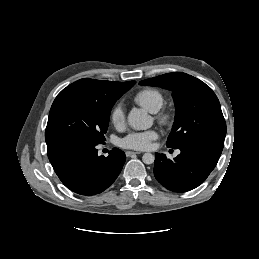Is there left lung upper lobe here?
I'll return each mask as SVG.
<instances>
[{
  "label": "left lung upper lobe",
  "instance_id": "1",
  "mask_svg": "<svg viewBox=\"0 0 259 259\" xmlns=\"http://www.w3.org/2000/svg\"><path fill=\"white\" fill-rule=\"evenodd\" d=\"M140 85L157 86L172 91L176 117L167 146L179 148L198 138L225 139L226 123L219 100L201 80L181 72L143 80Z\"/></svg>",
  "mask_w": 259,
  "mask_h": 259
}]
</instances>
